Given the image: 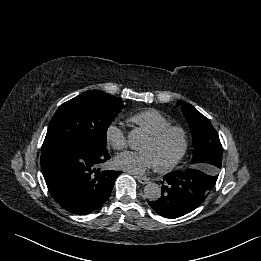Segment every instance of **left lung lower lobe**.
Here are the masks:
<instances>
[{
  "mask_svg": "<svg viewBox=\"0 0 261 261\" xmlns=\"http://www.w3.org/2000/svg\"><path fill=\"white\" fill-rule=\"evenodd\" d=\"M218 178L217 170L194 165L172 171L161 181V197L148 204L165 218H177L196 209L209 195Z\"/></svg>",
  "mask_w": 261,
  "mask_h": 261,
  "instance_id": "0a47b994",
  "label": "left lung lower lobe"
}]
</instances>
